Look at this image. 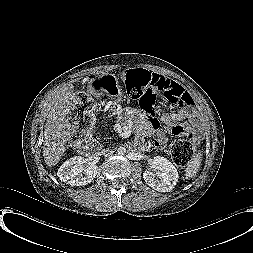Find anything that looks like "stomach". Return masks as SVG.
<instances>
[{"instance_id":"obj_1","label":"stomach","mask_w":253,"mask_h":253,"mask_svg":"<svg viewBox=\"0 0 253 253\" xmlns=\"http://www.w3.org/2000/svg\"><path fill=\"white\" fill-rule=\"evenodd\" d=\"M93 95L98 96L99 91L105 92L111 99L117 102L123 101V93L116 78L111 74H103L97 79H92L88 86Z\"/></svg>"}]
</instances>
